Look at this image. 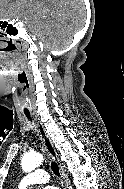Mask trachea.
<instances>
[{
    "instance_id": "3493384b",
    "label": "trachea",
    "mask_w": 124,
    "mask_h": 189,
    "mask_svg": "<svg viewBox=\"0 0 124 189\" xmlns=\"http://www.w3.org/2000/svg\"><path fill=\"white\" fill-rule=\"evenodd\" d=\"M25 115L26 117L31 120V117H30V113L29 112H25ZM51 169L52 171L54 172L55 175L59 176L60 173H59V167L58 165L55 163V162H51Z\"/></svg>"
}]
</instances>
